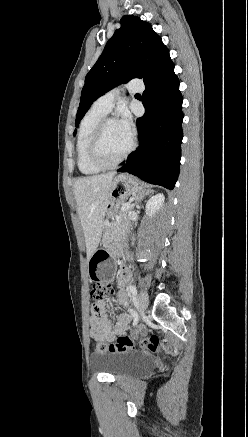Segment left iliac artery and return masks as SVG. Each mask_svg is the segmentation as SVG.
Here are the masks:
<instances>
[{
  "instance_id": "1",
  "label": "left iliac artery",
  "mask_w": 248,
  "mask_h": 437,
  "mask_svg": "<svg viewBox=\"0 0 248 437\" xmlns=\"http://www.w3.org/2000/svg\"><path fill=\"white\" fill-rule=\"evenodd\" d=\"M129 291H130L131 293L135 294V293L137 292L136 286H135V285H131V286L129 287ZM131 312H132V315H133V317H134L133 325H136L137 322H138V315H137V313H135V311H133V310H131Z\"/></svg>"
}]
</instances>
